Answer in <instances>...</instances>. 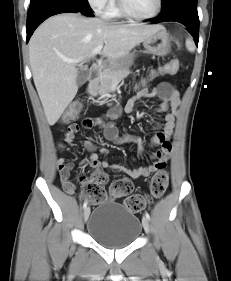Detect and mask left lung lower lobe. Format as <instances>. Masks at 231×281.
I'll use <instances>...</instances> for the list:
<instances>
[{"label": "left lung lower lobe", "mask_w": 231, "mask_h": 281, "mask_svg": "<svg viewBox=\"0 0 231 281\" xmlns=\"http://www.w3.org/2000/svg\"><path fill=\"white\" fill-rule=\"evenodd\" d=\"M151 23L164 21H176L188 28L198 45L199 17L197 12V0H172L162 5V12L158 17L148 19Z\"/></svg>", "instance_id": "1"}]
</instances>
